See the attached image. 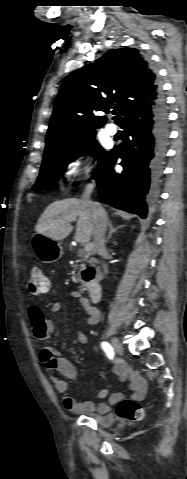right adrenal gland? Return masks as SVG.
Listing matches in <instances>:
<instances>
[{"label": "right adrenal gland", "mask_w": 187, "mask_h": 479, "mask_svg": "<svg viewBox=\"0 0 187 479\" xmlns=\"http://www.w3.org/2000/svg\"><path fill=\"white\" fill-rule=\"evenodd\" d=\"M108 225H109V233H108V236L106 238V242L109 241V239L111 238L113 233H115L118 229L123 227V226H118V227L114 228L111 222H109Z\"/></svg>", "instance_id": "right-adrenal-gland-1"}]
</instances>
